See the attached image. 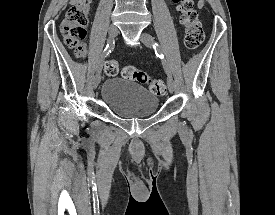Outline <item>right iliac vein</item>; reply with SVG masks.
I'll return each instance as SVG.
<instances>
[{
	"label": "right iliac vein",
	"mask_w": 275,
	"mask_h": 215,
	"mask_svg": "<svg viewBox=\"0 0 275 215\" xmlns=\"http://www.w3.org/2000/svg\"><path fill=\"white\" fill-rule=\"evenodd\" d=\"M118 34V29L115 25H111L109 27V35L111 38H114L115 36H117ZM101 81V70H97L96 71V74L93 78V81H92V85H93V88H97V86L99 85Z\"/></svg>",
	"instance_id": "right-iliac-vein-1"
}]
</instances>
